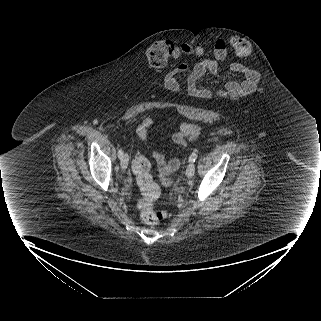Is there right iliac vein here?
Returning <instances> with one entry per match:
<instances>
[{"instance_id":"right-iliac-vein-1","label":"right iliac vein","mask_w":321,"mask_h":321,"mask_svg":"<svg viewBox=\"0 0 321 321\" xmlns=\"http://www.w3.org/2000/svg\"><path fill=\"white\" fill-rule=\"evenodd\" d=\"M128 161H129V157L127 154H124L122 159H121V168L123 170H126L128 167Z\"/></svg>"}]
</instances>
